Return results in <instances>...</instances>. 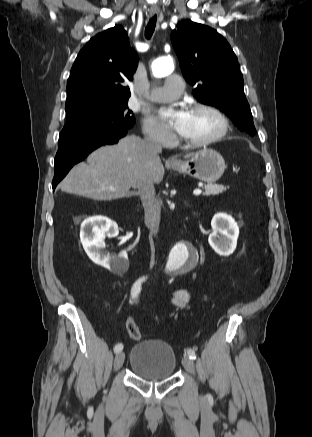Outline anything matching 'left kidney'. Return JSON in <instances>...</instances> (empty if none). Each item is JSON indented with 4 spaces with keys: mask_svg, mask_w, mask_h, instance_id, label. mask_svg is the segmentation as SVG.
I'll return each instance as SVG.
<instances>
[{
    "mask_svg": "<svg viewBox=\"0 0 312 437\" xmlns=\"http://www.w3.org/2000/svg\"><path fill=\"white\" fill-rule=\"evenodd\" d=\"M212 233L208 242L220 256L231 255L237 246L239 227L232 216L226 213H217L211 221Z\"/></svg>",
    "mask_w": 312,
    "mask_h": 437,
    "instance_id": "obj_1",
    "label": "left kidney"
}]
</instances>
